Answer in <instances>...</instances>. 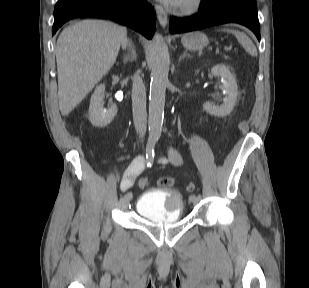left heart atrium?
<instances>
[{
  "instance_id": "obj_1",
  "label": "left heart atrium",
  "mask_w": 309,
  "mask_h": 288,
  "mask_svg": "<svg viewBox=\"0 0 309 288\" xmlns=\"http://www.w3.org/2000/svg\"><path fill=\"white\" fill-rule=\"evenodd\" d=\"M161 1L170 6H178L182 2V0H161Z\"/></svg>"
}]
</instances>
